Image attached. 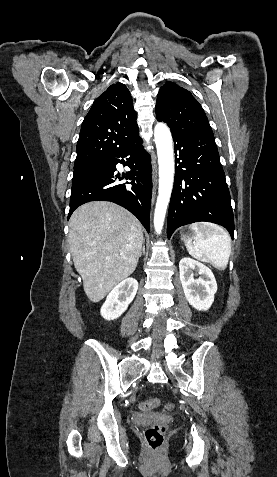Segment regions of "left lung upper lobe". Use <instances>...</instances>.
<instances>
[{"label": "left lung upper lobe", "mask_w": 277, "mask_h": 477, "mask_svg": "<svg viewBox=\"0 0 277 477\" xmlns=\"http://www.w3.org/2000/svg\"><path fill=\"white\" fill-rule=\"evenodd\" d=\"M156 116L171 132L213 135L205 112L192 94L173 82L164 84L157 96Z\"/></svg>", "instance_id": "left-lung-upper-lobe-1"}]
</instances>
